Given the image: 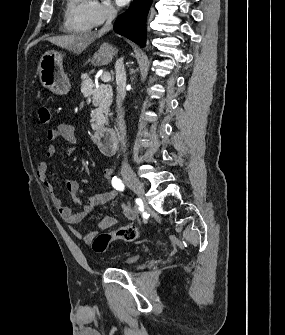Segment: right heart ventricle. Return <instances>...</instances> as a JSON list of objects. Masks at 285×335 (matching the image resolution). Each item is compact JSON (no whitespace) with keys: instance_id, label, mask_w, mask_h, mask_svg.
<instances>
[{"instance_id":"e07e8e85","label":"right heart ventricle","mask_w":285,"mask_h":335,"mask_svg":"<svg viewBox=\"0 0 285 335\" xmlns=\"http://www.w3.org/2000/svg\"><path fill=\"white\" fill-rule=\"evenodd\" d=\"M92 2L88 3V5L90 6ZM78 26L82 29V30H89L91 29V27H93V24L91 23L89 17L86 19H83L82 21L78 22Z\"/></svg>"}]
</instances>
